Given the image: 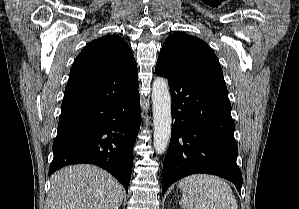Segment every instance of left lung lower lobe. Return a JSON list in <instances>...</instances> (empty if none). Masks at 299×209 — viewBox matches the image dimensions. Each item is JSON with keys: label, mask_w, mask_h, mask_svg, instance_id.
I'll return each mask as SVG.
<instances>
[{"label": "left lung lower lobe", "mask_w": 299, "mask_h": 209, "mask_svg": "<svg viewBox=\"0 0 299 209\" xmlns=\"http://www.w3.org/2000/svg\"><path fill=\"white\" fill-rule=\"evenodd\" d=\"M172 136L163 163L162 194L177 180L206 173L232 181L239 193L242 174L236 164L238 147L224 79L172 75Z\"/></svg>", "instance_id": "obj_1"}]
</instances>
